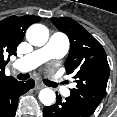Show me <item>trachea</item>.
<instances>
[{
  "instance_id": "1",
  "label": "trachea",
  "mask_w": 117,
  "mask_h": 117,
  "mask_svg": "<svg viewBox=\"0 0 117 117\" xmlns=\"http://www.w3.org/2000/svg\"><path fill=\"white\" fill-rule=\"evenodd\" d=\"M30 77V75L28 74V73H24V74H18L17 75V78L19 79V80H26V79H28ZM50 84H51V86L52 87H57V83H54V82H50Z\"/></svg>"
}]
</instances>
